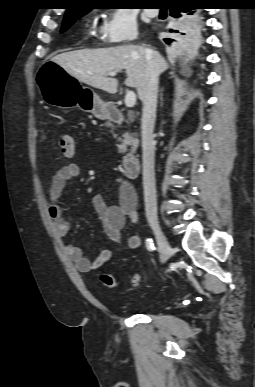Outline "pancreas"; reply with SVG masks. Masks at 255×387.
<instances>
[{
  "label": "pancreas",
  "mask_w": 255,
  "mask_h": 387,
  "mask_svg": "<svg viewBox=\"0 0 255 387\" xmlns=\"http://www.w3.org/2000/svg\"><path fill=\"white\" fill-rule=\"evenodd\" d=\"M122 137L123 139H118V141L121 142V144L117 145L119 152H127L128 146H131V150L134 151L138 145V140L132 138L129 133H124Z\"/></svg>",
  "instance_id": "obj_1"
}]
</instances>
